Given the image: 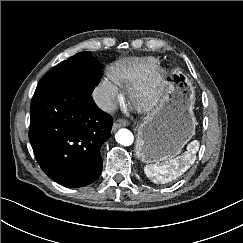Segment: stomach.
<instances>
[{"instance_id": "1", "label": "stomach", "mask_w": 243, "mask_h": 243, "mask_svg": "<svg viewBox=\"0 0 243 243\" xmlns=\"http://www.w3.org/2000/svg\"><path fill=\"white\" fill-rule=\"evenodd\" d=\"M195 92L180 71L173 72L159 103L138 125L136 155L144 163L176 157L195 134Z\"/></svg>"}]
</instances>
